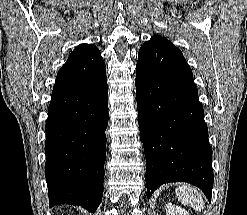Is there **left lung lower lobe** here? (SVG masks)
Returning a JSON list of instances; mask_svg holds the SVG:
<instances>
[{
	"instance_id": "1",
	"label": "left lung lower lobe",
	"mask_w": 247,
	"mask_h": 215,
	"mask_svg": "<svg viewBox=\"0 0 247 215\" xmlns=\"http://www.w3.org/2000/svg\"><path fill=\"white\" fill-rule=\"evenodd\" d=\"M135 85L148 198L162 184L180 181L199 187L210 201L212 149L182 52L170 41L152 37L139 50Z\"/></svg>"
}]
</instances>
